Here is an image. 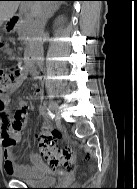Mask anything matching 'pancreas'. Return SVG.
<instances>
[{"mask_svg": "<svg viewBox=\"0 0 137 189\" xmlns=\"http://www.w3.org/2000/svg\"><path fill=\"white\" fill-rule=\"evenodd\" d=\"M19 32H21V30ZM19 39L22 40V41H25V36H23V35L20 34Z\"/></svg>", "mask_w": 137, "mask_h": 189, "instance_id": "1", "label": "pancreas"}]
</instances>
